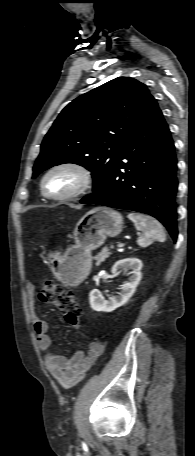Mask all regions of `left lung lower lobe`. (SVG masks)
Instances as JSON below:
<instances>
[{
    "label": "left lung lower lobe",
    "mask_w": 195,
    "mask_h": 456,
    "mask_svg": "<svg viewBox=\"0 0 195 456\" xmlns=\"http://www.w3.org/2000/svg\"><path fill=\"white\" fill-rule=\"evenodd\" d=\"M176 168L174 143L154 101L129 132L106 179L80 203L149 214L163 223L176 241Z\"/></svg>",
    "instance_id": "0a47b994"
}]
</instances>
